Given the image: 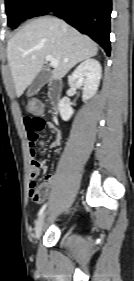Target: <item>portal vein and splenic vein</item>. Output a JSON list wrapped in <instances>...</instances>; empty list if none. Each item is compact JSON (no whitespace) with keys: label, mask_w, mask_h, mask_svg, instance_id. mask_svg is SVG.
Returning <instances> with one entry per match:
<instances>
[{"label":"portal vein and splenic vein","mask_w":134,"mask_h":281,"mask_svg":"<svg viewBox=\"0 0 134 281\" xmlns=\"http://www.w3.org/2000/svg\"><path fill=\"white\" fill-rule=\"evenodd\" d=\"M46 61H49L52 65L53 68H57L58 67V60L55 59L52 55H47L45 57Z\"/></svg>","instance_id":"1"}]
</instances>
